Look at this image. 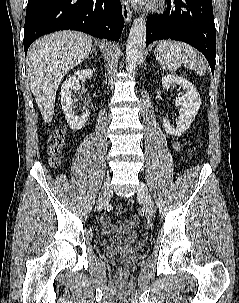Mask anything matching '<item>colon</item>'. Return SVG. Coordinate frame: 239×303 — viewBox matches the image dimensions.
Instances as JSON below:
<instances>
[{
  "label": "colon",
  "instance_id": "obj_1",
  "mask_svg": "<svg viewBox=\"0 0 239 303\" xmlns=\"http://www.w3.org/2000/svg\"><path fill=\"white\" fill-rule=\"evenodd\" d=\"M64 131L57 130L55 131L49 139L50 147H49V155H50V162L51 165L57 167L60 164L59 153L61 147L64 144ZM114 212L117 215H120L124 212V207L122 205H117L114 208ZM135 223H139V219L134 220Z\"/></svg>",
  "mask_w": 239,
  "mask_h": 303
}]
</instances>
